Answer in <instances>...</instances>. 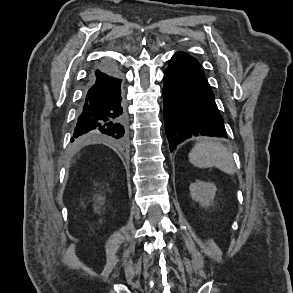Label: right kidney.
I'll return each mask as SVG.
<instances>
[{
  "label": "right kidney",
  "instance_id": "ca27d5eb",
  "mask_svg": "<svg viewBox=\"0 0 293 293\" xmlns=\"http://www.w3.org/2000/svg\"><path fill=\"white\" fill-rule=\"evenodd\" d=\"M102 200H104L101 196H99L98 198H97V201H102ZM97 209H99V207H95V211H97Z\"/></svg>",
  "mask_w": 293,
  "mask_h": 293
}]
</instances>
